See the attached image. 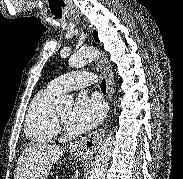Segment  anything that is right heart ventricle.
<instances>
[{
  "label": "right heart ventricle",
  "mask_w": 183,
  "mask_h": 179,
  "mask_svg": "<svg viewBox=\"0 0 183 179\" xmlns=\"http://www.w3.org/2000/svg\"><path fill=\"white\" fill-rule=\"evenodd\" d=\"M59 93L49 87L40 90L33 98L26 116L25 133L34 142L51 141L57 133L54 99Z\"/></svg>",
  "instance_id": "1"
}]
</instances>
